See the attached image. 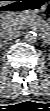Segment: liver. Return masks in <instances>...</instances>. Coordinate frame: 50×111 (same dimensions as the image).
Wrapping results in <instances>:
<instances>
[{
	"label": "liver",
	"mask_w": 50,
	"mask_h": 111,
	"mask_svg": "<svg viewBox=\"0 0 50 111\" xmlns=\"http://www.w3.org/2000/svg\"><path fill=\"white\" fill-rule=\"evenodd\" d=\"M10 2H8V1H1L0 2V5L1 6H5V5H8Z\"/></svg>",
	"instance_id": "obj_1"
}]
</instances>
